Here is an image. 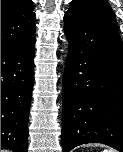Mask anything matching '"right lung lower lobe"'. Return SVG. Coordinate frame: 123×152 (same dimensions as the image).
Instances as JSON below:
<instances>
[{
    "label": "right lung lower lobe",
    "mask_w": 123,
    "mask_h": 152,
    "mask_svg": "<svg viewBox=\"0 0 123 152\" xmlns=\"http://www.w3.org/2000/svg\"><path fill=\"white\" fill-rule=\"evenodd\" d=\"M35 34L1 47V149L28 150V116L34 83Z\"/></svg>",
    "instance_id": "right-lung-lower-lobe-1"
}]
</instances>
